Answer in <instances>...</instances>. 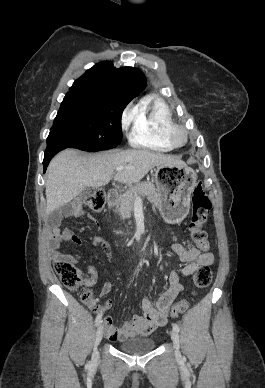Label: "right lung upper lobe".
Segmentation results:
<instances>
[{"label": "right lung upper lobe", "mask_w": 265, "mask_h": 388, "mask_svg": "<svg viewBox=\"0 0 265 388\" xmlns=\"http://www.w3.org/2000/svg\"><path fill=\"white\" fill-rule=\"evenodd\" d=\"M146 84V78L139 69H117L111 62H100L77 79L68 93L111 94L132 100Z\"/></svg>", "instance_id": "cb5924a9"}]
</instances>
